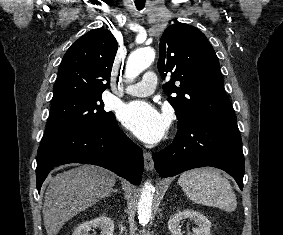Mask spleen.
<instances>
[{
  "instance_id": "3e777b00",
  "label": "spleen",
  "mask_w": 283,
  "mask_h": 235,
  "mask_svg": "<svg viewBox=\"0 0 283 235\" xmlns=\"http://www.w3.org/2000/svg\"><path fill=\"white\" fill-rule=\"evenodd\" d=\"M178 184L186 196L195 204L217 207L232 212L237 207L235 193L221 173L212 168L194 169L184 172Z\"/></svg>"
}]
</instances>
